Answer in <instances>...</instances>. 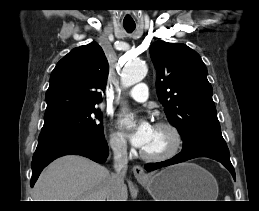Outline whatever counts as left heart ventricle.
Returning <instances> with one entry per match:
<instances>
[{
	"instance_id": "b2bd125f",
	"label": "left heart ventricle",
	"mask_w": 259,
	"mask_h": 211,
	"mask_svg": "<svg viewBox=\"0 0 259 211\" xmlns=\"http://www.w3.org/2000/svg\"><path fill=\"white\" fill-rule=\"evenodd\" d=\"M170 146V135L165 129L153 127L147 144L142 148L147 153L158 154Z\"/></svg>"
}]
</instances>
